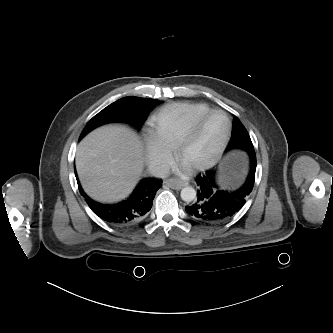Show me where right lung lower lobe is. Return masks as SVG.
<instances>
[{"label":"right lung lower lobe","mask_w":333,"mask_h":333,"mask_svg":"<svg viewBox=\"0 0 333 333\" xmlns=\"http://www.w3.org/2000/svg\"><path fill=\"white\" fill-rule=\"evenodd\" d=\"M77 182L81 195L92 211L101 219L117 226L133 225L142 220L151 209L157 190L162 187L161 180L145 178L141 180L129 198L120 203L108 205L90 199L82 190L78 178Z\"/></svg>","instance_id":"1"}]
</instances>
